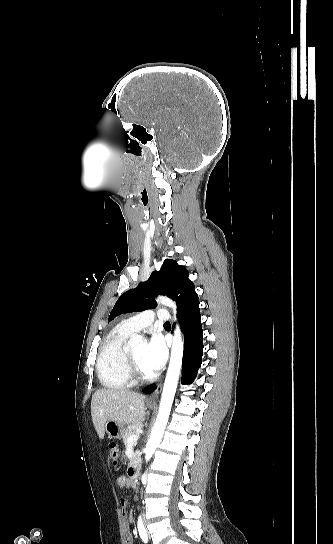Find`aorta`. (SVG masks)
<instances>
[{"instance_id":"obj_1","label":"aorta","mask_w":333,"mask_h":544,"mask_svg":"<svg viewBox=\"0 0 333 544\" xmlns=\"http://www.w3.org/2000/svg\"><path fill=\"white\" fill-rule=\"evenodd\" d=\"M159 303L176 311V304L169 298L160 296L158 298ZM132 348H141L143 344V338L141 335H132L129 341ZM184 351V342L180 328L177 326L174 330L173 344L171 348V357L169 367L164 382L162 396L160 400L159 412L151 431L150 438L145 447V459L148 462L156 451L158 445L161 442L168 418L170 415L171 407L173 404L176 388L181 372L182 358Z\"/></svg>"}]
</instances>
